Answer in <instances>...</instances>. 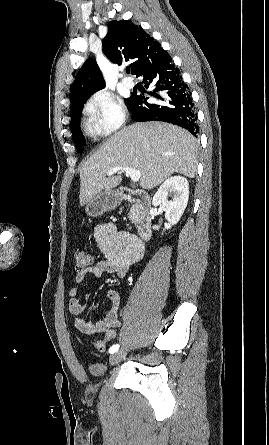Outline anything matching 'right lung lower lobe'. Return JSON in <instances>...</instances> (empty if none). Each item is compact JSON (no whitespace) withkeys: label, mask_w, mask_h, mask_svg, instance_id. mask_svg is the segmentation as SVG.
<instances>
[{"label":"right lung lower lobe","mask_w":269,"mask_h":445,"mask_svg":"<svg viewBox=\"0 0 269 445\" xmlns=\"http://www.w3.org/2000/svg\"><path fill=\"white\" fill-rule=\"evenodd\" d=\"M138 76L143 77L145 87H154L150 95L157 99L148 103L143 94H132L129 109L132 119L143 121H164L187 129L191 134H198L197 116L191 94L183 82L170 55L167 53L160 60L149 64Z\"/></svg>","instance_id":"1"}]
</instances>
